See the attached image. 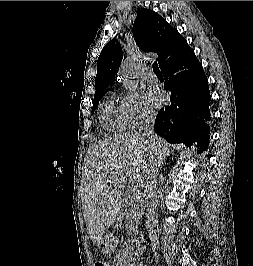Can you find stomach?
<instances>
[{"label": "stomach", "instance_id": "1", "mask_svg": "<svg viewBox=\"0 0 253 266\" xmlns=\"http://www.w3.org/2000/svg\"><path fill=\"white\" fill-rule=\"evenodd\" d=\"M115 243L111 235H104L98 241V248L105 253H109L114 249Z\"/></svg>", "mask_w": 253, "mask_h": 266}]
</instances>
